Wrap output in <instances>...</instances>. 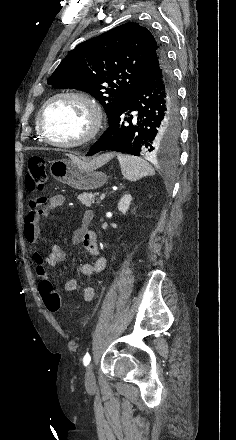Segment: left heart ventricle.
<instances>
[{"label":"left heart ventricle","instance_id":"left-heart-ventricle-1","mask_svg":"<svg viewBox=\"0 0 236 440\" xmlns=\"http://www.w3.org/2000/svg\"><path fill=\"white\" fill-rule=\"evenodd\" d=\"M47 135L54 141H74L81 138L89 126L87 109L78 101L58 99L44 114Z\"/></svg>","mask_w":236,"mask_h":440}]
</instances>
